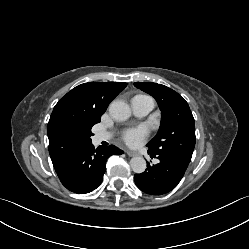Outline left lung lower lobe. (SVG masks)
Returning <instances> with one entry per match:
<instances>
[{
  "label": "left lung lower lobe",
  "mask_w": 249,
  "mask_h": 249,
  "mask_svg": "<svg viewBox=\"0 0 249 249\" xmlns=\"http://www.w3.org/2000/svg\"><path fill=\"white\" fill-rule=\"evenodd\" d=\"M150 157L160 160L156 165L147 163V170L135 174L137 187L151 195H162L174 189L182 179L190 160L179 156L156 154L148 150Z\"/></svg>",
  "instance_id": "obj_1"
}]
</instances>
